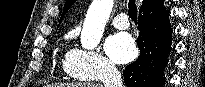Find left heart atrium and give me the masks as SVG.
Returning <instances> with one entry per match:
<instances>
[{
	"instance_id": "obj_1",
	"label": "left heart atrium",
	"mask_w": 205,
	"mask_h": 87,
	"mask_svg": "<svg viewBox=\"0 0 205 87\" xmlns=\"http://www.w3.org/2000/svg\"><path fill=\"white\" fill-rule=\"evenodd\" d=\"M105 51L111 60L122 64L135 57L136 47L129 34L117 33L107 39Z\"/></svg>"
}]
</instances>
